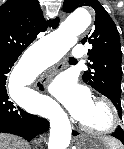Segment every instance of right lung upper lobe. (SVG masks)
<instances>
[{"label": "right lung upper lobe", "instance_id": "obj_1", "mask_svg": "<svg viewBox=\"0 0 124 149\" xmlns=\"http://www.w3.org/2000/svg\"><path fill=\"white\" fill-rule=\"evenodd\" d=\"M58 24V18L45 20L38 0H7L0 6V59L20 56L40 32Z\"/></svg>", "mask_w": 124, "mask_h": 149}]
</instances>
